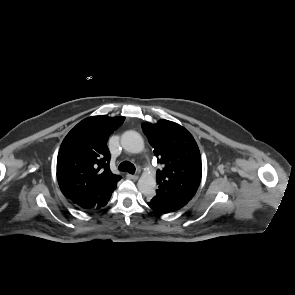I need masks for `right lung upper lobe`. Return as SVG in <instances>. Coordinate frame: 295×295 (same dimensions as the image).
<instances>
[{"label": "right lung upper lobe", "instance_id": "right-lung-upper-lobe-1", "mask_svg": "<svg viewBox=\"0 0 295 295\" xmlns=\"http://www.w3.org/2000/svg\"><path fill=\"white\" fill-rule=\"evenodd\" d=\"M124 117L92 116L64 138L57 157V180L73 202L91 199L121 179L110 171L107 141Z\"/></svg>", "mask_w": 295, "mask_h": 295}]
</instances>
